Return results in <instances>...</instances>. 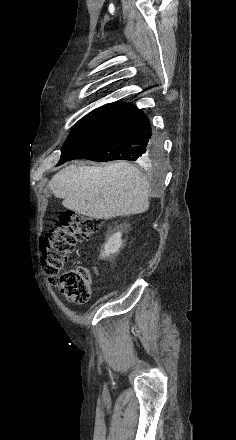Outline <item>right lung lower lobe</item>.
I'll use <instances>...</instances> for the list:
<instances>
[{
  "instance_id": "right-lung-lower-lobe-1",
  "label": "right lung lower lobe",
  "mask_w": 236,
  "mask_h": 440,
  "mask_svg": "<svg viewBox=\"0 0 236 440\" xmlns=\"http://www.w3.org/2000/svg\"><path fill=\"white\" fill-rule=\"evenodd\" d=\"M151 135L148 117L134 104L125 103L63 145L58 165L78 158L144 163L155 147Z\"/></svg>"
}]
</instances>
